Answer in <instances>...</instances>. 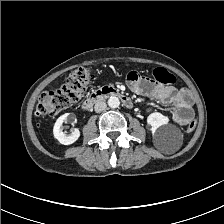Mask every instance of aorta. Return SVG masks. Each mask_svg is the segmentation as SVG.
<instances>
[{"label": "aorta", "instance_id": "762f6f07", "mask_svg": "<svg viewBox=\"0 0 224 224\" xmlns=\"http://www.w3.org/2000/svg\"><path fill=\"white\" fill-rule=\"evenodd\" d=\"M120 105V101L117 97L112 96L108 99V106L110 108H117Z\"/></svg>", "mask_w": 224, "mask_h": 224}]
</instances>
